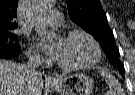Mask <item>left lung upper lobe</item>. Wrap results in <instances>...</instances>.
Returning a JSON list of instances; mask_svg holds the SVG:
<instances>
[{
    "label": "left lung upper lobe",
    "mask_w": 135,
    "mask_h": 95,
    "mask_svg": "<svg viewBox=\"0 0 135 95\" xmlns=\"http://www.w3.org/2000/svg\"><path fill=\"white\" fill-rule=\"evenodd\" d=\"M66 2L72 20L99 41L110 63L115 64L118 69H123L113 32L107 23V17L100 1L66 0Z\"/></svg>",
    "instance_id": "obj_1"
}]
</instances>
